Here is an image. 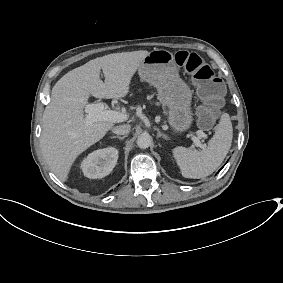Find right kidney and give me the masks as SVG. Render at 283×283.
Returning a JSON list of instances; mask_svg holds the SVG:
<instances>
[{
    "instance_id": "1",
    "label": "right kidney",
    "mask_w": 283,
    "mask_h": 283,
    "mask_svg": "<svg viewBox=\"0 0 283 283\" xmlns=\"http://www.w3.org/2000/svg\"><path fill=\"white\" fill-rule=\"evenodd\" d=\"M118 160V150L113 147L90 153L81 163L84 176L92 179L103 178L110 174Z\"/></svg>"
}]
</instances>
